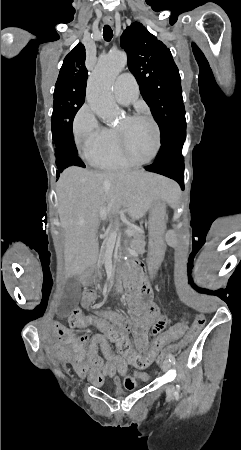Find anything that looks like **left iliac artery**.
<instances>
[{
	"mask_svg": "<svg viewBox=\"0 0 241 450\" xmlns=\"http://www.w3.org/2000/svg\"><path fill=\"white\" fill-rule=\"evenodd\" d=\"M168 359L172 364H175V357L171 353L168 354ZM179 388V385H177V391L179 390Z\"/></svg>",
	"mask_w": 241,
	"mask_h": 450,
	"instance_id": "44dca946",
	"label": "left iliac artery"
}]
</instances>
